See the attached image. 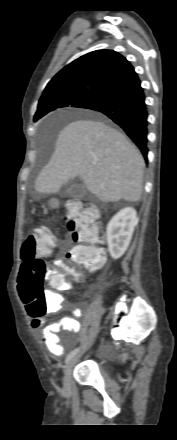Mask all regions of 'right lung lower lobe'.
I'll list each match as a JSON object with an SVG mask.
<instances>
[{"label": "right lung lower lobe", "mask_w": 177, "mask_h": 440, "mask_svg": "<svg viewBox=\"0 0 177 440\" xmlns=\"http://www.w3.org/2000/svg\"><path fill=\"white\" fill-rule=\"evenodd\" d=\"M139 78L86 107L105 114L118 124L141 150L147 161L148 112Z\"/></svg>", "instance_id": "98d812e1"}]
</instances>
